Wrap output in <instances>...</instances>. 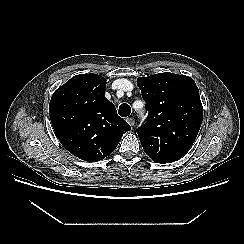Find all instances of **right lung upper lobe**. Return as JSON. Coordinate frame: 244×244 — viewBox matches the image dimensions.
<instances>
[{
	"label": "right lung upper lobe",
	"instance_id": "obj_1",
	"mask_svg": "<svg viewBox=\"0 0 244 244\" xmlns=\"http://www.w3.org/2000/svg\"><path fill=\"white\" fill-rule=\"evenodd\" d=\"M106 79L97 74H80L52 95L49 114L60 143L85 161L110 155L130 125L118 116L105 97Z\"/></svg>",
	"mask_w": 244,
	"mask_h": 244
}]
</instances>
